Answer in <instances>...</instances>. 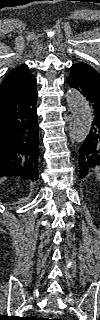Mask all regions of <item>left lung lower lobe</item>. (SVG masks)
<instances>
[{
    "instance_id": "left-lung-lower-lobe-1",
    "label": "left lung lower lobe",
    "mask_w": 100,
    "mask_h": 320,
    "mask_svg": "<svg viewBox=\"0 0 100 320\" xmlns=\"http://www.w3.org/2000/svg\"><path fill=\"white\" fill-rule=\"evenodd\" d=\"M67 83L86 98L94 118L91 130L79 149L80 177L84 178L89 169L100 166V87L73 71L67 77Z\"/></svg>"
}]
</instances>
